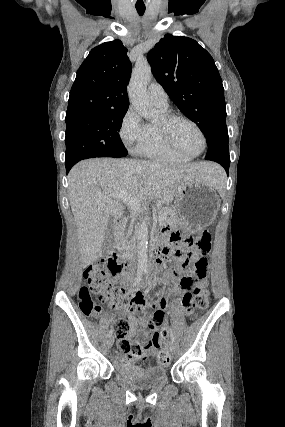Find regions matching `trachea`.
I'll use <instances>...</instances> for the list:
<instances>
[{
  "label": "trachea",
  "instance_id": "3493384b",
  "mask_svg": "<svg viewBox=\"0 0 285 427\" xmlns=\"http://www.w3.org/2000/svg\"><path fill=\"white\" fill-rule=\"evenodd\" d=\"M136 10L140 16H142L145 12V7H136Z\"/></svg>",
  "mask_w": 285,
  "mask_h": 427
}]
</instances>
